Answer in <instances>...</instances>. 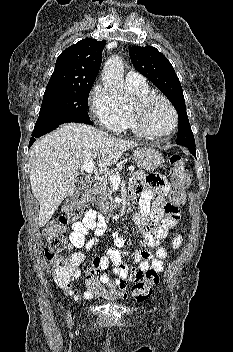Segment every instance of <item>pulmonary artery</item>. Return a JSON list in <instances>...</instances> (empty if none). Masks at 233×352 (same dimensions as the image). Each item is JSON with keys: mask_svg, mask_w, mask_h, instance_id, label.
<instances>
[{"mask_svg": "<svg viewBox=\"0 0 233 352\" xmlns=\"http://www.w3.org/2000/svg\"><path fill=\"white\" fill-rule=\"evenodd\" d=\"M125 81L130 88H144L147 86L145 78L135 71L128 72L125 76Z\"/></svg>", "mask_w": 233, "mask_h": 352, "instance_id": "obj_1", "label": "pulmonary artery"}]
</instances>
